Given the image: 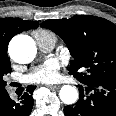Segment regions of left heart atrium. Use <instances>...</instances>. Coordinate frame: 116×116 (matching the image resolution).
<instances>
[{"instance_id":"39dd6f15","label":"left heart atrium","mask_w":116,"mask_h":116,"mask_svg":"<svg viewBox=\"0 0 116 116\" xmlns=\"http://www.w3.org/2000/svg\"><path fill=\"white\" fill-rule=\"evenodd\" d=\"M60 63L57 59H48L43 64L36 66L27 75L26 80L30 83L48 84L55 82L58 78Z\"/></svg>"}]
</instances>
